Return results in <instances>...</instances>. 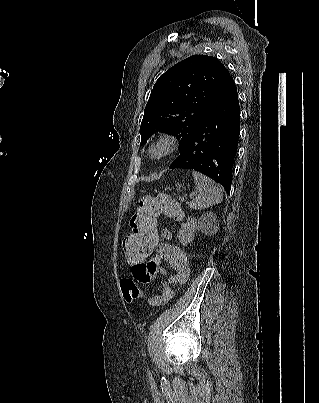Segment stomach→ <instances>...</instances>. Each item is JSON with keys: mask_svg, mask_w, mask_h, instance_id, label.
Returning <instances> with one entry per match:
<instances>
[{"mask_svg": "<svg viewBox=\"0 0 319 403\" xmlns=\"http://www.w3.org/2000/svg\"><path fill=\"white\" fill-rule=\"evenodd\" d=\"M176 186H177V188H178V189H180V188H181V185H180V184H177Z\"/></svg>", "mask_w": 319, "mask_h": 403, "instance_id": "0dacf381", "label": "stomach"}]
</instances>
